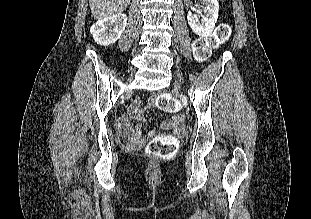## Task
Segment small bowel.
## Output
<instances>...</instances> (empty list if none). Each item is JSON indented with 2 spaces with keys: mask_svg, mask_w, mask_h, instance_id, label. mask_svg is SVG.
I'll list each match as a JSON object with an SVG mask.
<instances>
[{
  "mask_svg": "<svg viewBox=\"0 0 311 219\" xmlns=\"http://www.w3.org/2000/svg\"><path fill=\"white\" fill-rule=\"evenodd\" d=\"M130 112L131 116H125L123 117V124L125 126H129L131 121L134 119L136 120L139 124H142L145 121V118L140 111V100L135 99L131 106H130ZM170 129L175 135H182L184 133V128L181 126L179 123L178 118H174L173 121L169 124ZM141 131L140 129H137L131 133H126L123 136L124 141L127 143L131 140H139L141 138Z\"/></svg>",
  "mask_w": 311,
  "mask_h": 219,
  "instance_id": "1",
  "label": "small bowel"
}]
</instances>
